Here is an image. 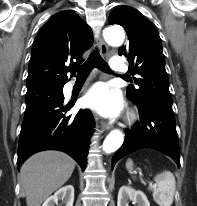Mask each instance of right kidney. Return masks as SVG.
Returning <instances> with one entry per match:
<instances>
[{
    "label": "right kidney",
    "mask_w": 197,
    "mask_h": 206,
    "mask_svg": "<svg viewBox=\"0 0 197 206\" xmlns=\"http://www.w3.org/2000/svg\"><path fill=\"white\" fill-rule=\"evenodd\" d=\"M58 200H62L65 206H73L74 201V187L72 185H66L60 188L50 196L42 206H55L58 204Z\"/></svg>",
    "instance_id": "ca27d5eb"
}]
</instances>
